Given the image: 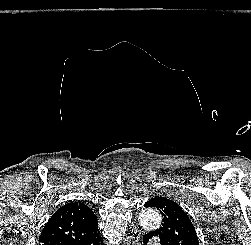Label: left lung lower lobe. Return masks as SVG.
I'll return each instance as SVG.
<instances>
[{
	"instance_id": "left-lung-lower-lobe-1",
	"label": "left lung lower lobe",
	"mask_w": 251,
	"mask_h": 245,
	"mask_svg": "<svg viewBox=\"0 0 251 245\" xmlns=\"http://www.w3.org/2000/svg\"><path fill=\"white\" fill-rule=\"evenodd\" d=\"M153 236H156V235L153 234V233H148V234H145V235L143 236V242L145 243V245L147 244L148 240H149L151 237H153ZM160 243H161L162 245H169L166 241H164V240H162V239H160Z\"/></svg>"
}]
</instances>
